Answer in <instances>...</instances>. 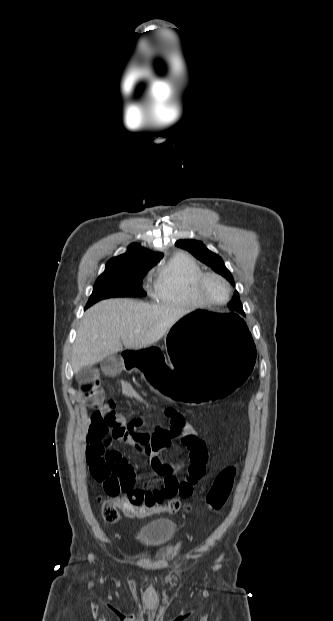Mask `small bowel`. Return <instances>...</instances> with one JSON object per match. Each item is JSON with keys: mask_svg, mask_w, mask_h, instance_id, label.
<instances>
[{"mask_svg": "<svg viewBox=\"0 0 333 621\" xmlns=\"http://www.w3.org/2000/svg\"><path fill=\"white\" fill-rule=\"evenodd\" d=\"M118 366L115 357H108L101 363V369L106 373L115 372ZM119 386L124 395L145 403L129 382L122 380ZM80 393L84 403L94 410L87 424L85 445V459L91 474L101 462H108L119 469L127 463L123 454L112 447L113 443H139L150 456L148 463L151 472L145 487H134L123 498L136 508L155 503L163 504L165 499L174 497L192 496L198 481L205 474L208 454L203 439L179 409L173 406L158 407L168 424L157 425L147 432L139 430L144 425L141 419L128 423L116 411L113 402L105 401L103 390L94 375L82 378ZM175 438H179L182 450L187 456L183 465L164 461L159 456ZM180 471L184 472L183 477H177ZM157 477L162 478L161 484L149 488L148 484Z\"/></svg>", "mask_w": 333, "mask_h": 621, "instance_id": "1", "label": "small bowel"}]
</instances>
